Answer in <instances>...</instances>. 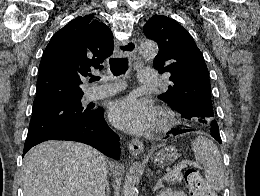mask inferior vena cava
Wrapping results in <instances>:
<instances>
[{
	"label": "inferior vena cava",
	"mask_w": 260,
	"mask_h": 196,
	"mask_svg": "<svg viewBox=\"0 0 260 196\" xmlns=\"http://www.w3.org/2000/svg\"><path fill=\"white\" fill-rule=\"evenodd\" d=\"M94 196H105V194H103V192H101V190H95Z\"/></svg>",
	"instance_id": "obj_1"
}]
</instances>
